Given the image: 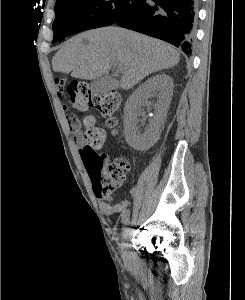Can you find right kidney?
Segmentation results:
<instances>
[{
    "instance_id": "obj_1",
    "label": "right kidney",
    "mask_w": 245,
    "mask_h": 300,
    "mask_svg": "<svg viewBox=\"0 0 245 300\" xmlns=\"http://www.w3.org/2000/svg\"><path fill=\"white\" fill-rule=\"evenodd\" d=\"M173 95L170 76L158 74L140 85L127 99L124 107V135L127 143L135 150L145 151L159 139V128L164 122ZM157 97L154 115L149 125L142 130L138 117L142 107L151 106L149 98Z\"/></svg>"
}]
</instances>
